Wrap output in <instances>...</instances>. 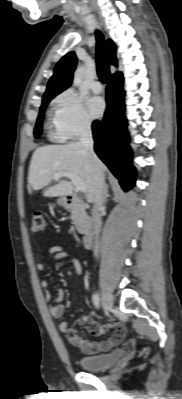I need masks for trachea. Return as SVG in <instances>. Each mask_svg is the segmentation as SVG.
Listing matches in <instances>:
<instances>
[{
	"mask_svg": "<svg viewBox=\"0 0 182 399\" xmlns=\"http://www.w3.org/2000/svg\"><path fill=\"white\" fill-rule=\"evenodd\" d=\"M96 38H97V48H96L97 73L100 81L102 83H107L110 76L109 64L105 56L104 37L103 34L98 30L96 31Z\"/></svg>",
	"mask_w": 182,
	"mask_h": 399,
	"instance_id": "3493384b",
	"label": "trachea"
}]
</instances>
